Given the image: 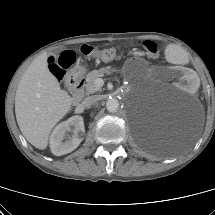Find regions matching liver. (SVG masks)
<instances>
[{
    "instance_id": "liver-1",
    "label": "liver",
    "mask_w": 215,
    "mask_h": 215,
    "mask_svg": "<svg viewBox=\"0 0 215 215\" xmlns=\"http://www.w3.org/2000/svg\"><path fill=\"white\" fill-rule=\"evenodd\" d=\"M48 54L36 57L16 90L15 115L26 140L38 149L48 146L53 127L70 111L72 97L48 69Z\"/></svg>"
}]
</instances>
